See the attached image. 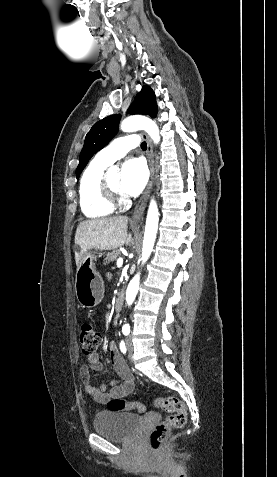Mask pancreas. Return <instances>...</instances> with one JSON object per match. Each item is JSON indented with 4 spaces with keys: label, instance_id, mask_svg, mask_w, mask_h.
Wrapping results in <instances>:
<instances>
[{
    "label": "pancreas",
    "instance_id": "pancreas-1",
    "mask_svg": "<svg viewBox=\"0 0 277 477\" xmlns=\"http://www.w3.org/2000/svg\"><path fill=\"white\" fill-rule=\"evenodd\" d=\"M119 256V252L118 251H113V252H110L106 255L105 257V262L104 264L106 263H113L114 261H116L117 257Z\"/></svg>",
    "mask_w": 277,
    "mask_h": 477
}]
</instances>
